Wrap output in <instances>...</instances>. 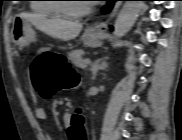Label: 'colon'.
Wrapping results in <instances>:
<instances>
[{
    "mask_svg": "<svg viewBox=\"0 0 182 140\" xmlns=\"http://www.w3.org/2000/svg\"><path fill=\"white\" fill-rule=\"evenodd\" d=\"M30 75L37 94L45 99L58 91L72 89L78 85V78L65 57L37 56L31 63ZM68 140H88L87 119L82 107L70 116L67 126Z\"/></svg>",
    "mask_w": 182,
    "mask_h": 140,
    "instance_id": "colon-1",
    "label": "colon"
}]
</instances>
